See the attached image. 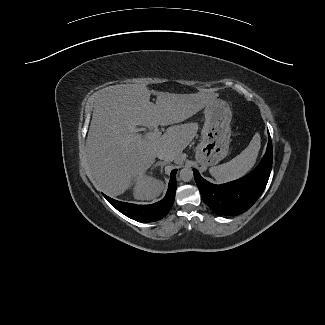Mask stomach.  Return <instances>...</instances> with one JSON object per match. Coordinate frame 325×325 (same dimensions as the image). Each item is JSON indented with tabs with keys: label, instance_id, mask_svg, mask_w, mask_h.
I'll return each mask as SVG.
<instances>
[{
	"label": "stomach",
	"instance_id": "0dacf381",
	"mask_svg": "<svg viewBox=\"0 0 325 325\" xmlns=\"http://www.w3.org/2000/svg\"><path fill=\"white\" fill-rule=\"evenodd\" d=\"M202 140L196 148V160L202 166H213L229 151L232 113L226 101L216 99L204 110Z\"/></svg>",
	"mask_w": 325,
	"mask_h": 325
}]
</instances>
